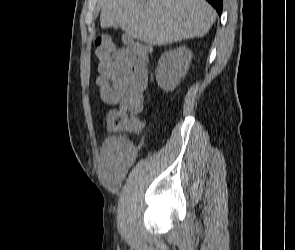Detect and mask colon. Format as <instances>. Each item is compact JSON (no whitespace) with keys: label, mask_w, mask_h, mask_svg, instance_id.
<instances>
[{"label":"colon","mask_w":295,"mask_h":250,"mask_svg":"<svg viewBox=\"0 0 295 250\" xmlns=\"http://www.w3.org/2000/svg\"><path fill=\"white\" fill-rule=\"evenodd\" d=\"M98 69L101 74L114 68L118 47L107 35H99L95 40ZM126 48L133 54L147 52L148 48L140 42L128 39ZM140 111L130 105H121L107 112L105 120L112 130H128L136 132L142 128V122L137 117Z\"/></svg>","instance_id":"colon-1"}]
</instances>
